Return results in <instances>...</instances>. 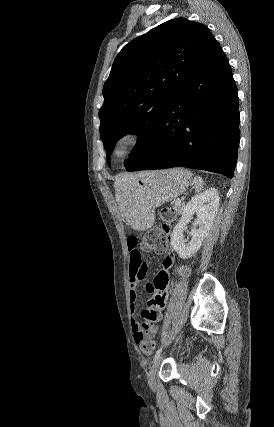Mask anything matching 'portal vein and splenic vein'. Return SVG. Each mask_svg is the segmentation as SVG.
Instances as JSON below:
<instances>
[{"label": "portal vein and splenic vein", "instance_id": "18ae733b", "mask_svg": "<svg viewBox=\"0 0 274 427\" xmlns=\"http://www.w3.org/2000/svg\"><path fill=\"white\" fill-rule=\"evenodd\" d=\"M176 204H181V200H177Z\"/></svg>", "mask_w": 274, "mask_h": 427}]
</instances>
